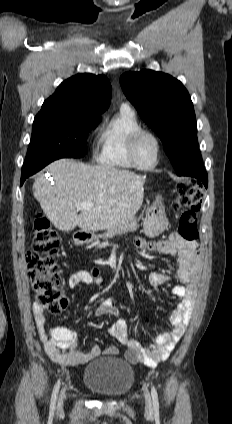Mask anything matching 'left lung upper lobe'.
<instances>
[{
	"mask_svg": "<svg viewBox=\"0 0 232 424\" xmlns=\"http://www.w3.org/2000/svg\"><path fill=\"white\" fill-rule=\"evenodd\" d=\"M120 83L141 118L162 140L177 175L202 159L193 103L179 80L145 69L124 73Z\"/></svg>",
	"mask_w": 232,
	"mask_h": 424,
	"instance_id": "1",
	"label": "left lung upper lobe"
}]
</instances>
